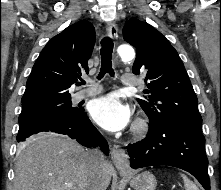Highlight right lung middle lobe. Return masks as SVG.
Returning <instances> with one entry per match:
<instances>
[{
	"mask_svg": "<svg viewBox=\"0 0 221 190\" xmlns=\"http://www.w3.org/2000/svg\"><path fill=\"white\" fill-rule=\"evenodd\" d=\"M80 111L81 109L72 107L71 98L23 107L18 119V133L49 121L72 120Z\"/></svg>",
	"mask_w": 221,
	"mask_h": 190,
	"instance_id": "right-lung-middle-lobe-1",
	"label": "right lung middle lobe"
}]
</instances>
